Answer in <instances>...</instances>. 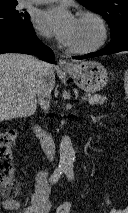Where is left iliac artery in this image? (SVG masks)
Segmentation results:
<instances>
[{
    "label": "left iliac artery",
    "instance_id": "1",
    "mask_svg": "<svg viewBox=\"0 0 128 213\" xmlns=\"http://www.w3.org/2000/svg\"><path fill=\"white\" fill-rule=\"evenodd\" d=\"M65 173H66V176L69 180L74 179L73 166L71 164L66 166Z\"/></svg>",
    "mask_w": 128,
    "mask_h": 213
}]
</instances>
